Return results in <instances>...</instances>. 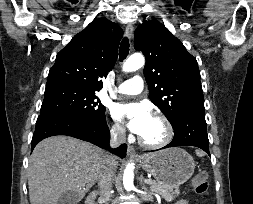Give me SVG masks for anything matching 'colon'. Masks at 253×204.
I'll use <instances>...</instances> for the list:
<instances>
[{
  "instance_id": "1",
  "label": "colon",
  "mask_w": 253,
  "mask_h": 204,
  "mask_svg": "<svg viewBox=\"0 0 253 204\" xmlns=\"http://www.w3.org/2000/svg\"><path fill=\"white\" fill-rule=\"evenodd\" d=\"M192 185L198 195H200L205 200L208 199V174L206 172H200L195 175L192 179Z\"/></svg>"
}]
</instances>
